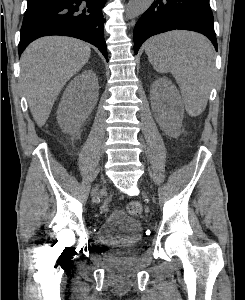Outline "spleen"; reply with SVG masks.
I'll use <instances>...</instances> for the list:
<instances>
[{"label": "spleen", "instance_id": "obj_1", "mask_svg": "<svg viewBox=\"0 0 245 300\" xmlns=\"http://www.w3.org/2000/svg\"><path fill=\"white\" fill-rule=\"evenodd\" d=\"M145 52L157 72L172 73L187 112L191 116L201 114L214 70L213 51L206 39L192 32L171 31L150 38Z\"/></svg>", "mask_w": 245, "mask_h": 300}]
</instances>
